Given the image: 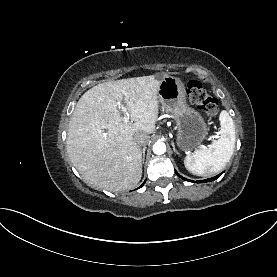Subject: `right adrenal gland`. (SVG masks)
Here are the masks:
<instances>
[{
    "mask_svg": "<svg viewBox=\"0 0 277 277\" xmlns=\"http://www.w3.org/2000/svg\"><path fill=\"white\" fill-rule=\"evenodd\" d=\"M145 151H146V147H144V148L142 149V154H143L142 161H143V163H144V160H145Z\"/></svg>",
    "mask_w": 277,
    "mask_h": 277,
    "instance_id": "2a0ac1e0",
    "label": "right adrenal gland"
}]
</instances>
